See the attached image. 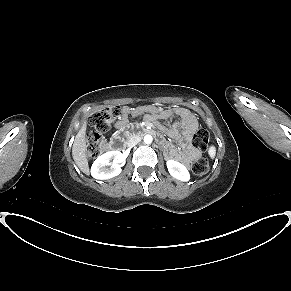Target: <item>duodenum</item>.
<instances>
[{
    "label": "duodenum",
    "instance_id": "duodenum-1",
    "mask_svg": "<svg viewBox=\"0 0 291 291\" xmlns=\"http://www.w3.org/2000/svg\"><path fill=\"white\" fill-rule=\"evenodd\" d=\"M145 132L151 134L155 140H159L160 143L165 144L167 142V138L162 136L160 133H155L153 130L147 129L145 125H140L136 123L134 125L128 124L123 129L112 136V141L110 143V150L112 152H119L121 148L124 146L122 142L123 139L121 136L131 135L133 133Z\"/></svg>",
    "mask_w": 291,
    "mask_h": 291
}]
</instances>
